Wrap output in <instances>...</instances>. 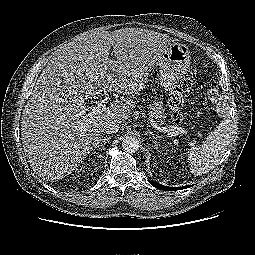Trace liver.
<instances>
[{
    "instance_id": "obj_1",
    "label": "liver",
    "mask_w": 255,
    "mask_h": 255,
    "mask_svg": "<svg viewBox=\"0 0 255 255\" xmlns=\"http://www.w3.org/2000/svg\"><path fill=\"white\" fill-rule=\"evenodd\" d=\"M171 44L148 29L90 30L60 47L42 71L22 116L21 137L28 162L43 180L70 174L99 143L106 122L124 123L155 62ZM113 47L115 60L109 58ZM111 91L124 96L93 115L86 98Z\"/></svg>"
}]
</instances>
